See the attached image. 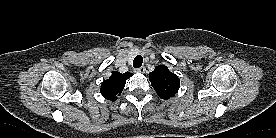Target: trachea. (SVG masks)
<instances>
[{
	"instance_id": "trachea-1",
	"label": "trachea",
	"mask_w": 276,
	"mask_h": 138,
	"mask_svg": "<svg viewBox=\"0 0 276 138\" xmlns=\"http://www.w3.org/2000/svg\"><path fill=\"white\" fill-rule=\"evenodd\" d=\"M142 63H143V58H142V56H141V55H137V56L134 58V60H133V67H134V68H139V67H141Z\"/></svg>"
}]
</instances>
